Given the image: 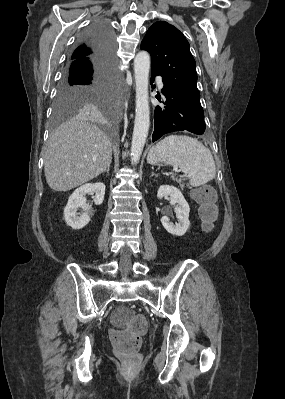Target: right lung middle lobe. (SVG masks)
<instances>
[{
  "label": "right lung middle lobe",
  "mask_w": 285,
  "mask_h": 399,
  "mask_svg": "<svg viewBox=\"0 0 285 399\" xmlns=\"http://www.w3.org/2000/svg\"><path fill=\"white\" fill-rule=\"evenodd\" d=\"M114 86H82L65 79L59 84L54 104V122L74 115L77 111L109 118L113 106Z\"/></svg>",
  "instance_id": "right-lung-middle-lobe-1"
}]
</instances>
